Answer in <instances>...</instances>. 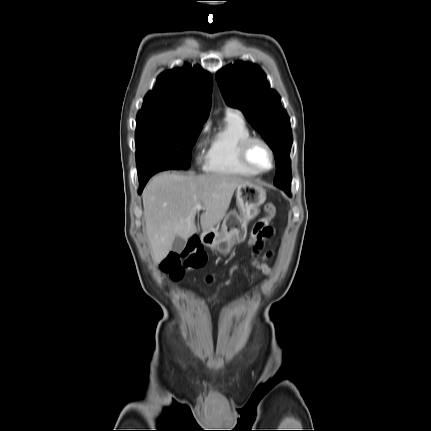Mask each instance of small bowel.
<instances>
[{
  "instance_id": "small-bowel-1",
  "label": "small bowel",
  "mask_w": 431,
  "mask_h": 431,
  "mask_svg": "<svg viewBox=\"0 0 431 431\" xmlns=\"http://www.w3.org/2000/svg\"><path fill=\"white\" fill-rule=\"evenodd\" d=\"M272 233H273V230H272V227H271L270 230H269V232L267 234H265L264 236H261V237H257L256 242L253 243L254 244L253 245V249H254L255 253H259L260 252V250H261V248L263 246V242L267 238H269L272 235ZM270 256H271V252H266L265 254L261 255L260 257L253 259L252 260L253 266H255L257 269L261 270L265 274H270L272 272V270H271V268L265 262L266 259L269 258ZM237 268H238V264L236 263V264H234L231 267V269H230V275H232L237 270ZM214 281H215V279L212 276H208L206 278V282L208 284H211ZM230 282L231 281L228 280V281L222 283L220 286L229 285ZM209 300H211V299H209Z\"/></svg>"
}]
</instances>
